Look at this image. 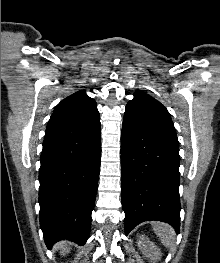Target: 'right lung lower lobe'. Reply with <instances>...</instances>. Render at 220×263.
Masks as SVG:
<instances>
[{
  "instance_id": "obj_1",
  "label": "right lung lower lobe",
  "mask_w": 220,
  "mask_h": 263,
  "mask_svg": "<svg viewBox=\"0 0 220 263\" xmlns=\"http://www.w3.org/2000/svg\"><path fill=\"white\" fill-rule=\"evenodd\" d=\"M101 160L100 127L81 138L43 141L39 172L40 227L49 249L90 234Z\"/></svg>"
}]
</instances>
